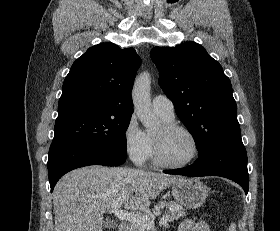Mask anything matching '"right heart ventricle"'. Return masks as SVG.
I'll use <instances>...</instances> for the list:
<instances>
[{"label":"right heart ventricle","mask_w":280,"mask_h":231,"mask_svg":"<svg viewBox=\"0 0 280 231\" xmlns=\"http://www.w3.org/2000/svg\"><path fill=\"white\" fill-rule=\"evenodd\" d=\"M160 115V114H159ZM161 116V115H160ZM161 118L165 121V122H172L173 119H168V118H165L163 116H161ZM148 136V139H149V142H150V153H149V157L150 159H154V141H153V137L152 135L150 134H147Z\"/></svg>","instance_id":"right-heart-ventricle-1"}]
</instances>
